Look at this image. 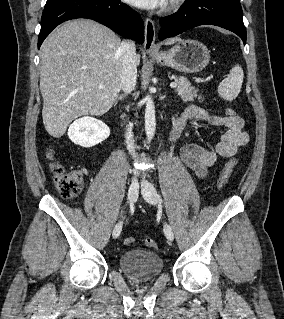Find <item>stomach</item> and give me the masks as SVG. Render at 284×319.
<instances>
[{
    "instance_id": "stomach-1",
    "label": "stomach",
    "mask_w": 284,
    "mask_h": 319,
    "mask_svg": "<svg viewBox=\"0 0 284 319\" xmlns=\"http://www.w3.org/2000/svg\"><path fill=\"white\" fill-rule=\"evenodd\" d=\"M152 57L162 66L182 73H197L209 63L210 51L197 40L180 39L170 50L152 54Z\"/></svg>"
}]
</instances>
